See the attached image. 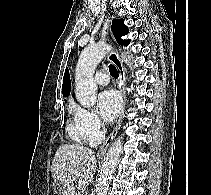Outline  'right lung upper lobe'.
<instances>
[{
  "label": "right lung upper lobe",
  "instance_id": "cb5924a9",
  "mask_svg": "<svg viewBox=\"0 0 211 195\" xmlns=\"http://www.w3.org/2000/svg\"><path fill=\"white\" fill-rule=\"evenodd\" d=\"M70 89H71L70 75L68 69H66L62 85L63 96L68 97L70 95Z\"/></svg>",
  "mask_w": 211,
  "mask_h": 195
}]
</instances>
